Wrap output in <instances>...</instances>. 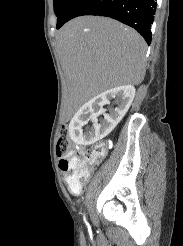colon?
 <instances>
[{"label": "colon", "mask_w": 183, "mask_h": 246, "mask_svg": "<svg viewBox=\"0 0 183 246\" xmlns=\"http://www.w3.org/2000/svg\"><path fill=\"white\" fill-rule=\"evenodd\" d=\"M72 142L67 127L59 132L56 150L60 159V169L70 179V191L77 192L82 189L83 183L89 175L90 167L99 161L105 154L104 144L93 146L76 156L67 157Z\"/></svg>", "instance_id": "1"}]
</instances>
